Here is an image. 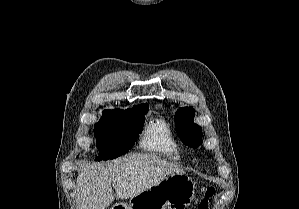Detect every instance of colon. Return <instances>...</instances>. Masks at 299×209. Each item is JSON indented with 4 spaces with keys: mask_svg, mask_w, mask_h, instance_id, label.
I'll list each match as a JSON object with an SVG mask.
<instances>
[{
    "mask_svg": "<svg viewBox=\"0 0 299 209\" xmlns=\"http://www.w3.org/2000/svg\"><path fill=\"white\" fill-rule=\"evenodd\" d=\"M215 195L213 186H203L196 199V209H208L209 200Z\"/></svg>",
    "mask_w": 299,
    "mask_h": 209,
    "instance_id": "5ec220e1",
    "label": "colon"
}]
</instances>
